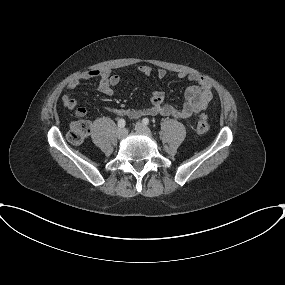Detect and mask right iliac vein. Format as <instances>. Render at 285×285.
<instances>
[{"label": "right iliac vein", "mask_w": 285, "mask_h": 285, "mask_svg": "<svg viewBox=\"0 0 285 285\" xmlns=\"http://www.w3.org/2000/svg\"><path fill=\"white\" fill-rule=\"evenodd\" d=\"M116 135L119 139H123L127 135V130L125 128H119L116 132Z\"/></svg>", "instance_id": "obj_1"}]
</instances>
